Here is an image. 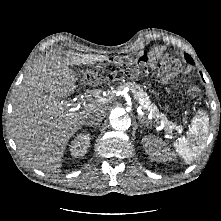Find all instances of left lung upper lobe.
Segmentation results:
<instances>
[{
	"instance_id": "5c2ea615",
	"label": "left lung upper lobe",
	"mask_w": 221,
	"mask_h": 221,
	"mask_svg": "<svg viewBox=\"0 0 221 221\" xmlns=\"http://www.w3.org/2000/svg\"><path fill=\"white\" fill-rule=\"evenodd\" d=\"M185 57H186L187 62H189V63H193V59L191 58L190 55L185 54Z\"/></svg>"
}]
</instances>
